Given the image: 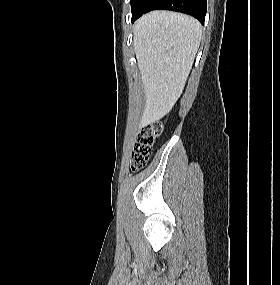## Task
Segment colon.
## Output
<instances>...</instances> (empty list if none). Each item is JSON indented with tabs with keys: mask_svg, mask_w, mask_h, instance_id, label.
Segmentation results:
<instances>
[{
	"mask_svg": "<svg viewBox=\"0 0 280 285\" xmlns=\"http://www.w3.org/2000/svg\"><path fill=\"white\" fill-rule=\"evenodd\" d=\"M161 131L162 125L159 123L149 124L141 129L131 155L133 170L141 169L147 164Z\"/></svg>",
	"mask_w": 280,
	"mask_h": 285,
	"instance_id": "colon-1",
	"label": "colon"
}]
</instances>
